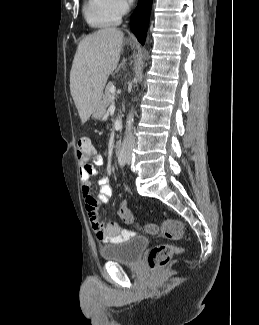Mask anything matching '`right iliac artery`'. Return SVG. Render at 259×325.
I'll return each instance as SVG.
<instances>
[{
	"label": "right iliac artery",
	"mask_w": 259,
	"mask_h": 325,
	"mask_svg": "<svg viewBox=\"0 0 259 325\" xmlns=\"http://www.w3.org/2000/svg\"><path fill=\"white\" fill-rule=\"evenodd\" d=\"M127 162V157H126V152L123 150L119 155H118V163L120 166H124Z\"/></svg>",
	"instance_id": "right-iliac-artery-1"
}]
</instances>
